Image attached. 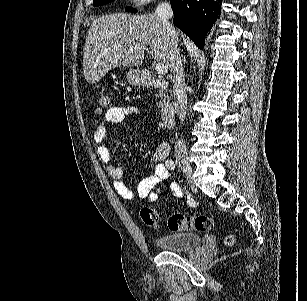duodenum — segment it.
Masks as SVG:
<instances>
[{"instance_id": "1", "label": "duodenum", "mask_w": 307, "mask_h": 301, "mask_svg": "<svg viewBox=\"0 0 307 301\" xmlns=\"http://www.w3.org/2000/svg\"><path fill=\"white\" fill-rule=\"evenodd\" d=\"M141 79L145 86L156 87L164 93V102L160 112L161 122L164 127L168 129L172 128L176 120V111L169 95L168 82L166 80L156 78L148 73L142 74Z\"/></svg>"}]
</instances>
